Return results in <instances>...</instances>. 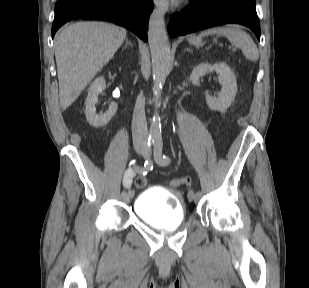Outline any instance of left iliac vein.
<instances>
[{
  "label": "left iliac vein",
  "mask_w": 309,
  "mask_h": 288,
  "mask_svg": "<svg viewBox=\"0 0 309 288\" xmlns=\"http://www.w3.org/2000/svg\"><path fill=\"white\" fill-rule=\"evenodd\" d=\"M148 154H149V153L147 152V155H146V156H148ZM194 195H195V194H194ZM194 195H193V191H190V192H189L188 198H189L190 201H192V200L198 201V200L200 199V197H197V196H194Z\"/></svg>",
  "instance_id": "4c4485c4"
}]
</instances>
